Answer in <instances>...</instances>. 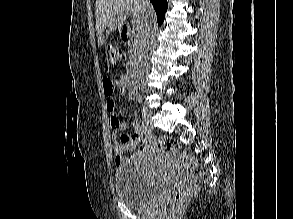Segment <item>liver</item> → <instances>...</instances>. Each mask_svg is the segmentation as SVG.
Listing matches in <instances>:
<instances>
[{"instance_id": "obj_1", "label": "liver", "mask_w": 293, "mask_h": 219, "mask_svg": "<svg viewBox=\"0 0 293 219\" xmlns=\"http://www.w3.org/2000/svg\"><path fill=\"white\" fill-rule=\"evenodd\" d=\"M96 29L98 46L104 42L103 32L109 28L107 34L123 26L127 15H133L132 25L140 33L143 31L147 19L154 18L152 5L147 7L144 0H96Z\"/></svg>"}]
</instances>
